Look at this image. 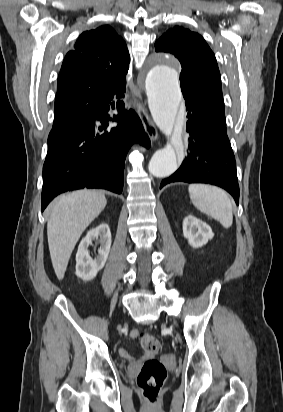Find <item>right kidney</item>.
I'll return each instance as SVG.
<instances>
[{
	"label": "right kidney",
	"mask_w": 283,
	"mask_h": 412,
	"mask_svg": "<svg viewBox=\"0 0 283 412\" xmlns=\"http://www.w3.org/2000/svg\"><path fill=\"white\" fill-rule=\"evenodd\" d=\"M98 240L101 244L98 255L93 259L88 251L92 241ZM111 247V232L107 224L102 223L96 228L88 231L87 235L81 240L76 254V275L84 281L96 277L108 258Z\"/></svg>",
	"instance_id": "obj_1"
}]
</instances>
